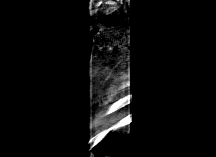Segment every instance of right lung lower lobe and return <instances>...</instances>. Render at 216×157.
<instances>
[{"label":"right lung lower lobe","instance_id":"98d812e1","mask_svg":"<svg viewBox=\"0 0 216 157\" xmlns=\"http://www.w3.org/2000/svg\"><path fill=\"white\" fill-rule=\"evenodd\" d=\"M157 130L148 110L133 104L117 131L95 145L94 157H153L157 150Z\"/></svg>","mask_w":216,"mask_h":157}]
</instances>
